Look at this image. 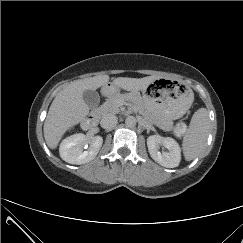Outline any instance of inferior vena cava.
<instances>
[{
	"mask_svg": "<svg viewBox=\"0 0 243 243\" xmlns=\"http://www.w3.org/2000/svg\"><path fill=\"white\" fill-rule=\"evenodd\" d=\"M118 122V118L117 116H115L114 114H106L103 116V118L101 119V127L104 129H109L114 127Z\"/></svg>",
	"mask_w": 243,
	"mask_h": 243,
	"instance_id": "1",
	"label": "inferior vena cava"
}]
</instances>
